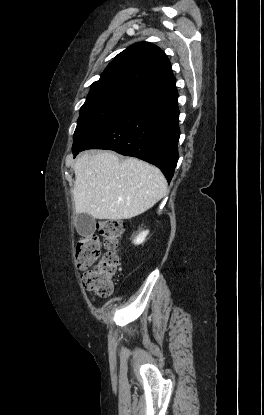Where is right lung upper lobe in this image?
<instances>
[{
	"label": "right lung upper lobe",
	"mask_w": 264,
	"mask_h": 415,
	"mask_svg": "<svg viewBox=\"0 0 264 415\" xmlns=\"http://www.w3.org/2000/svg\"><path fill=\"white\" fill-rule=\"evenodd\" d=\"M175 83L166 54L152 43L139 42L109 63L88 96L119 92L146 99L175 87Z\"/></svg>",
	"instance_id": "obj_1"
}]
</instances>
